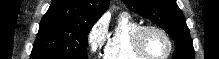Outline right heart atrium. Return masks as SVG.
<instances>
[{"mask_svg": "<svg viewBox=\"0 0 219 59\" xmlns=\"http://www.w3.org/2000/svg\"><path fill=\"white\" fill-rule=\"evenodd\" d=\"M106 40V26L100 20L96 22L87 35V43L91 53L96 54L101 50Z\"/></svg>", "mask_w": 219, "mask_h": 59, "instance_id": "right-heart-atrium-1", "label": "right heart atrium"}]
</instances>
